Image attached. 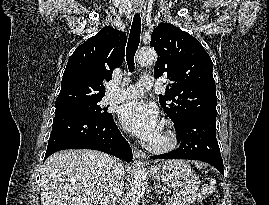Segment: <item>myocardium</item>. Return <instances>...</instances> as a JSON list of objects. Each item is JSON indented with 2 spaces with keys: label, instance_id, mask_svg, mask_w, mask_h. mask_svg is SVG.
<instances>
[{
  "label": "myocardium",
  "instance_id": "f54148a6",
  "mask_svg": "<svg viewBox=\"0 0 269 205\" xmlns=\"http://www.w3.org/2000/svg\"><path fill=\"white\" fill-rule=\"evenodd\" d=\"M177 146V137L172 129V124L168 121L163 126V139L160 142H152L150 151L156 154H163L173 150Z\"/></svg>",
  "mask_w": 269,
  "mask_h": 205
}]
</instances>
